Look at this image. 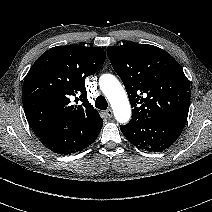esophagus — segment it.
I'll use <instances>...</instances> for the list:
<instances>
[{
  "label": "esophagus",
  "mask_w": 212,
  "mask_h": 212,
  "mask_svg": "<svg viewBox=\"0 0 212 212\" xmlns=\"http://www.w3.org/2000/svg\"><path fill=\"white\" fill-rule=\"evenodd\" d=\"M106 115L109 117V118H111L112 116H113V111H112V109H107L106 110Z\"/></svg>",
  "instance_id": "34e87169"
}]
</instances>
